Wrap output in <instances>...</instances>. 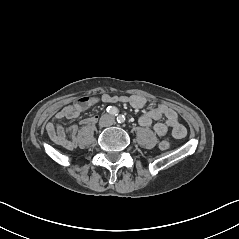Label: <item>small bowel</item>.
I'll use <instances>...</instances> for the list:
<instances>
[{
	"label": "small bowel",
	"mask_w": 239,
	"mask_h": 239,
	"mask_svg": "<svg viewBox=\"0 0 239 239\" xmlns=\"http://www.w3.org/2000/svg\"><path fill=\"white\" fill-rule=\"evenodd\" d=\"M98 102L103 103H127L134 108H142L147 104V99L140 95L131 96H117L111 94H103L99 97H94L84 105L74 103L66 106L59 111L52 121L46 126V132L49 138L56 144L66 148L74 149L77 146V127L72 125L69 127H63L59 122L62 120H75L80 113L90 104ZM164 118V121H160ZM94 121L93 118H87L84 120V124H90ZM138 122L142 126L154 125V132L158 136H164L169 129L172 131V135L175 139H182L186 136L187 130L180 122L178 114L172 108L166 104H159L156 108L142 113L138 117Z\"/></svg>",
	"instance_id": "obj_1"
}]
</instances>
